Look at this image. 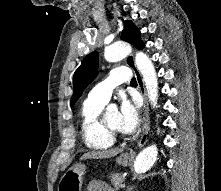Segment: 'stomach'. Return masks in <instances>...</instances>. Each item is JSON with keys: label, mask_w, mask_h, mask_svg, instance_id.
<instances>
[{"label": "stomach", "mask_w": 221, "mask_h": 191, "mask_svg": "<svg viewBox=\"0 0 221 191\" xmlns=\"http://www.w3.org/2000/svg\"><path fill=\"white\" fill-rule=\"evenodd\" d=\"M132 157L121 154L116 158V163L121 166H128L132 162ZM86 166L84 164H75L67 170L61 177L58 184V191H81Z\"/></svg>", "instance_id": "obj_1"}]
</instances>
